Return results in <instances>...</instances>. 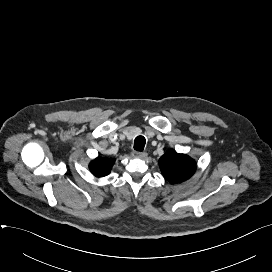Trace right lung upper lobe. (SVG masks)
<instances>
[{
    "mask_svg": "<svg viewBox=\"0 0 272 272\" xmlns=\"http://www.w3.org/2000/svg\"><path fill=\"white\" fill-rule=\"evenodd\" d=\"M114 162L112 158L98 157L89 164V169L96 177H103L110 173Z\"/></svg>",
    "mask_w": 272,
    "mask_h": 272,
    "instance_id": "obj_1",
    "label": "right lung upper lobe"
}]
</instances>
